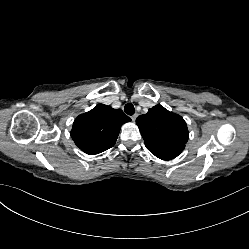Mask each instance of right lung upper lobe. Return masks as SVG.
<instances>
[{"label": "right lung upper lobe", "instance_id": "cb5924a9", "mask_svg": "<svg viewBox=\"0 0 249 249\" xmlns=\"http://www.w3.org/2000/svg\"><path fill=\"white\" fill-rule=\"evenodd\" d=\"M129 121L122 110L98 104L75 119L71 137L86 154H98L114 146L121 126Z\"/></svg>", "mask_w": 249, "mask_h": 249}]
</instances>
